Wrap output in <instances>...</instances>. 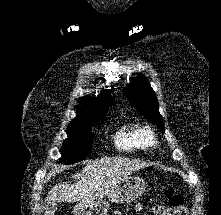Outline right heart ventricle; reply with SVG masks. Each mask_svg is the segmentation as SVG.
Returning <instances> with one entry per match:
<instances>
[{
	"mask_svg": "<svg viewBox=\"0 0 221 215\" xmlns=\"http://www.w3.org/2000/svg\"><path fill=\"white\" fill-rule=\"evenodd\" d=\"M116 144L124 150L148 148L153 146L154 139L151 130L147 127L127 128L118 132Z\"/></svg>",
	"mask_w": 221,
	"mask_h": 215,
	"instance_id": "1",
	"label": "right heart ventricle"
}]
</instances>
